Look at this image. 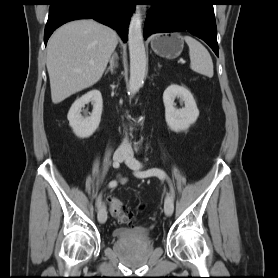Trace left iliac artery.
Returning a JSON list of instances; mask_svg holds the SVG:
<instances>
[{
	"mask_svg": "<svg viewBox=\"0 0 278 278\" xmlns=\"http://www.w3.org/2000/svg\"><path fill=\"white\" fill-rule=\"evenodd\" d=\"M136 176H138V177L158 176L159 178L167 179L169 186H170L172 196L174 197L175 193H174L173 184H172L171 180L169 179V177L167 176V174L165 173V171H163L162 169H158V168L148 169L146 171L137 172Z\"/></svg>",
	"mask_w": 278,
	"mask_h": 278,
	"instance_id": "1",
	"label": "left iliac artery"
}]
</instances>
